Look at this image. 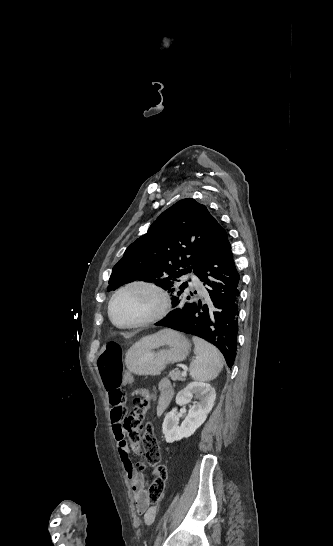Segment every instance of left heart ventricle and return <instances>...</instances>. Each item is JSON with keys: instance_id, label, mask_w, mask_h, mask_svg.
Instances as JSON below:
<instances>
[{"instance_id": "left-heart-ventricle-1", "label": "left heart ventricle", "mask_w": 333, "mask_h": 546, "mask_svg": "<svg viewBox=\"0 0 333 546\" xmlns=\"http://www.w3.org/2000/svg\"><path fill=\"white\" fill-rule=\"evenodd\" d=\"M157 305L156 296L146 289H130L114 302L112 314L116 322L130 324L149 315Z\"/></svg>"}]
</instances>
